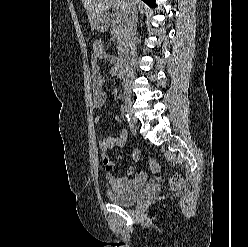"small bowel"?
Returning a JSON list of instances; mask_svg holds the SVG:
<instances>
[{"label":"small bowel","instance_id":"obj_1","mask_svg":"<svg viewBox=\"0 0 248 247\" xmlns=\"http://www.w3.org/2000/svg\"><path fill=\"white\" fill-rule=\"evenodd\" d=\"M105 61L111 65L110 73L116 75L119 71L118 60L111 54L106 52H94L91 58V82H92V95H93V107H102L107 99L106 92L104 90L105 78L100 72L99 62ZM94 122L99 124L101 122V117L99 115L95 116ZM127 137L126 131H121L116 136H109L102 138L99 142L100 149L102 150V158L104 168L107 173V178L112 183L116 189H127L129 187L142 184L147 179V174L145 172H139L135 175L133 179L128 177H117L114 176L112 171L114 168L113 162L110 160L107 151L113 148H120L124 145ZM129 172H131V167H129Z\"/></svg>","mask_w":248,"mask_h":247}]
</instances>
